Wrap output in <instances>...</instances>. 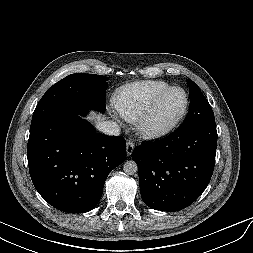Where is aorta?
Instances as JSON below:
<instances>
[{
	"label": "aorta",
	"mask_w": 253,
	"mask_h": 253,
	"mask_svg": "<svg viewBox=\"0 0 253 253\" xmlns=\"http://www.w3.org/2000/svg\"><path fill=\"white\" fill-rule=\"evenodd\" d=\"M123 170L128 175H134L138 170V166L133 160L126 161L123 165Z\"/></svg>",
	"instance_id": "762f6f07"
}]
</instances>
